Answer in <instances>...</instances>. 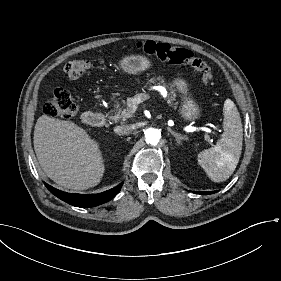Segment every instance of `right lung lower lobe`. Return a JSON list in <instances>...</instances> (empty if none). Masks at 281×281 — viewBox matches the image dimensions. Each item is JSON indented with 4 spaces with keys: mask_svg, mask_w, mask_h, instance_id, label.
<instances>
[{
    "mask_svg": "<svg viewBox=\"0 0 281 281\" xmlns=\"http://www.w3.org/2000/svg\"><path fill=\"white\" fill-rule=\"evenodd\" d=\"M122 185L123 183H120L118 186L98 194H74L63 192L45 183L47 189L56 197L73 206L81 208L98 206L100 204L108 202L114 196H116V194L120 191Z\"/></svg>",
    "mask_w": 281,
    "mask_h": 281,
    "instance_id": "1",
    "label": "right lung lower lobe"
}]
</instances>
